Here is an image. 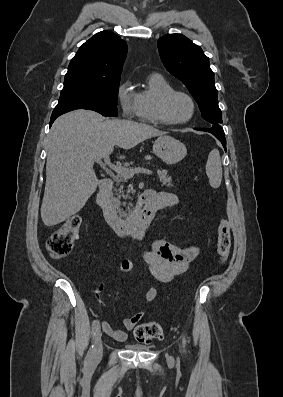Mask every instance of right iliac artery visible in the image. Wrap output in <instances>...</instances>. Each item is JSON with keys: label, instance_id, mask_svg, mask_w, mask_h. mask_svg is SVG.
I'll return each instance as SVG.
<instances>
[{"label": "right iliac artery", "instance_id": "1", "mask_svg": "<svg viewBox=\"0 0 283 397\" xmlns=\"http://www.w3.org/2000/svg\"><path fill=\"white\" fill-rule=\"evenodd\" d=\"M99 328H100L99 321L98 320H94L93 323H92V338L93 339H94L97 331L99 330ZM93 347L94 346L92 345L91 348L89 349V352H88V355H87L88 359H91L92 356H93Z\"/></svg>", "mask_w": 283, "mask_h": 397}]
</instances>
